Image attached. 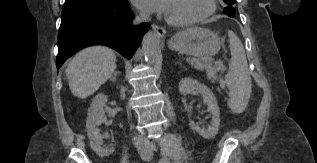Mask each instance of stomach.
I'll use <instances>...</instances> for the list:
<instances>
[{"mask_svg":"<svg viewBox=\"0 0 317 163\" xmlns=\"http://www.w3.org/2000/svg\"><path fill=\"white\" fill-rule=\"evenodd\" d=\"M169 47L183 54L207 57L220 50L221 40L208 29L192 27L176 33L169 41Z\"/></svg>","mask_w":317,"mask_h":163,"instance_id":"stomach-1","label":"stomach"}]
</instances>
